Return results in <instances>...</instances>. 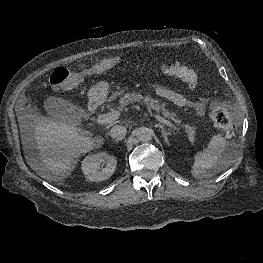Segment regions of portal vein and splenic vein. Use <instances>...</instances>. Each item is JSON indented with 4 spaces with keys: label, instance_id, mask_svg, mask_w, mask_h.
Listing matches in <instances>:
<instances>
[{
    "label": "portal vein and splenic vein",
    "instance_id": "18ae733b",
    "mask_svg": "<svg viewBox=\"0 0 263 263\" xmlns=\"http://www.w3.org/2000/svg\"><path fill=\"white\" fill-rule=\"evenodd\" d=\"M121 115V112L120 111H116V112H110V113H107V114H104V115H100L96 118V123L97 124H100V125H103V124H108V123H111L113 122L114 120L118 119L119 116ZM151 116H153L154 118H156L158 121H160L161 123L175 129V130H179V128L173 124L172 122L164 119L163 117H161L160 115L158 114H153L151 113Z\"/></svg>",
    "mask_w": 263,
    "mask_h": 263
}]
</instances>
